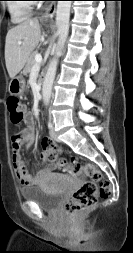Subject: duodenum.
Masks as SVG:
<instances>
[{"label": "duodenum", "instance_id": "duodenum-1", "mask_svg": "<svg viewBox=\"0 0 133 253\" xmlns=\"http://www.w3.org/2000/svg\"><path fill=\"white\" fill-rule=\"evenodd\" d=\"M42 86H43V79H41L39 82V87L42 88Z\"/></svg>", "mask_w": 133, "mask_h": 253}]
</instances>
